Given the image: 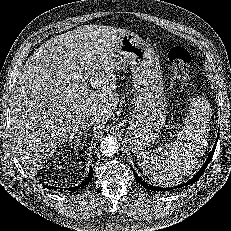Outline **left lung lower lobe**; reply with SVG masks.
Here are the masks:
<instances>
[{"label":"left lung lower lobe","instance_id":"left-lung-lower-lobe-1","mask_svg":"<svg viewBox=\"0 0 231 231\" xmlns=\"http://www.w3.org/2000/svg\"><path fill=\"white\" fill-rule=\"evenodd\" d=\"M218 140V138H217ZM217 143V141H216ZM216 143H215V146L214 148L212 149V151L210 152L207 160L205 161V163L203 164L202 168L199 170V172L191 179L189 180L188 182L184 183V184H181L180 186L178 187H183V186H187V185H190V184H193L195 183V181H197L200 176H202V174L204 173L206 167L208 166L209 162L211 161L212 159V156L214 154V151H215V148H216ZM133 173H134V176H135V179L137 180V182L139 184H141L143 187H145L146 189L148 190H151V191H170V190H173L174 188H178V187H174V188H160V187H155L153 185H150L148 183H146L145 181H143L138 175L137 173H135V171L133 170Z\"/></svg>","mask_w":231,"mask_h":231}]
</instances>
